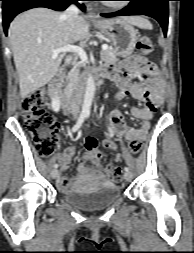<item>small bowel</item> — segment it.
I'll return each instance as SVG.
<instances>
[{
    "label": "small bowel",
    "mask_w": 194,
    "mask_h": 253,
    "mask_svg": "<svg viewBox=\"0 0 194 253\" xmlns=\"http://www.w3.org/2000/svg\"><path fill=\"white\" fill-rule=\"evenodd\" d=\"M146 56H133L125 59L121 63L112 68H103L100 73L104 77L113 80L118 86L119 91L116 94V100L121 101L127 95H132L135 99L144 102L143 107H132L131 114L142 120L139 128H133L126 125L121 112L116 109L109 115V137L102 141V146L106 149L115 151L113 161L121 160L122 155L118 152V146L113 140V137L125 138L127 141L145 140L148 131L151 127V119L157 107L164 100V86L162 82L154 77V71H157V66L153 60H146ZM132 79L138 81L132 82ZM75 147L68 146L63 153L57 157L60 163L61 172L58 174L57 185L60 190L67 192L72 188V182L64 175L70 165V162L75 154ZM90 160L92 167H88L86 162ZM113 163L102 168L100 161L92 160V151L88 149L82 156L78 166V172L81 175L92 173L99 180L108 182L112 170ZM74 179L73 182H76Z\"/></svg>",
    "instance_id": "c3829d8e"
}]
</instances>
